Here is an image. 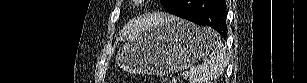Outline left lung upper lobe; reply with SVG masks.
Listing matches in <instances>:
<instances>
[{"mask_svg":"<svg viewBox=\"0 0 307 83\" xmlns=\"http://www.w3.org/2000/svg\"><path fill=\"white\" fill-rule=\"evenodd\" d=\"M160 1L165 10L167 11L173 5L175 0H160Z\"/></svg>","mask_w":307,"mask_h":83,"instance_id":"1","label":"left lung upper lobe"}]
</instances>
